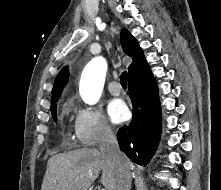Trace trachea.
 <instances>
[{"instance_id":"obj_1","label":"trachea","mask_w":221,"mask_h":190,"mask_svg":"<svg viewBox=\"0 0 221 190\" xmlns=\"http://www.w3.org/2000/svg\"><path fill=\"white\" fill-rule=\"evenodd\" d=\"M127 78H128L127 72L124 71L120 76V83L123 88L127 87Z\"/></svg>"}]
</instances>
